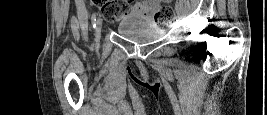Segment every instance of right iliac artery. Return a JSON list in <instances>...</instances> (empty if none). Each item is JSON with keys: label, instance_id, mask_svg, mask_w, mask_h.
Segmentation results:
<instances>
[{"label": "right iliac artery", "instance_id": "1", "mask_svg": "<svg viewBox=\"0 0 267 115\" xmlns=\"http://www.w3.org/2000/svg\"><path fill=\"white\" fill-rule=\"evenodd\" d=\"M91 21H92V26L95 29L96 28V13L92 14Z\"/></svg>", "mask_w": 267, "mask_h": 115}]
</instances>
